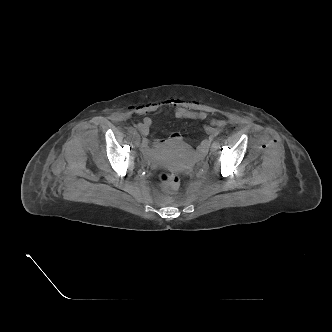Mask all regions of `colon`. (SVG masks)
Wrapping results in <instances>:
<instances>
[{"label":"colon","instance_id":"5ec220e1","mask_svg":"<svg viewBox=\"0 0 332 332\" xmlns=\"http://www.w3.org/2000/svg\"><path fill=\"white\" fill-rule=\"evenodd\" d=\"M161 184L169 191H175L180 184V178L171 171H164L159 174Z\"/></svg>","mask_w":332,"mask_h":332}]
</instances>
